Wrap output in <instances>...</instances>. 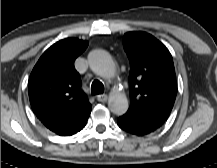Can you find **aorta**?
<instances>
[{"instance_id":"1","label":"aorta","mask_w":217,"mask_h":168,"mask_svg":"<svg viewBox=\"0 0 217 168\" xmlns=\"http://www.w3.org/2000/svg\"><path fill=\"white\" fill-rule=\"evenodd\" d=\"M88 63L91 70L103 77L111 78L115 75V64L111 56L104 50L96 49L89 53ZM108 107L115 115H123L128 110V100L126 95L120 91H112L108 99Z\"/></svg>"}]
</instances>
